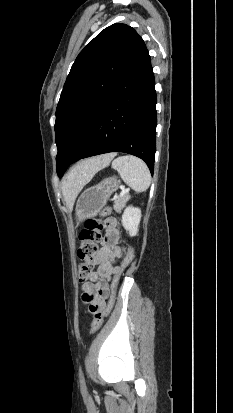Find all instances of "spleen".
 <instances>
[{
  "instance_id": "1",
  "label": "spleen",
  "mask_w": 233,
  "mask_h": 413,
  "mask_svg": "<svg viewBox=\"0 0 233 413\" xmlns=\"http://www.w3.org/2000/svg\"><path fill=\"white\" fill-rule=\"evenodd\" d=\"M112 168L118 171L122 180L135 192H144L149 188L151 174L145 162L140 158L120 156L113 160Z\"/></svg>"
}]
</instances>
